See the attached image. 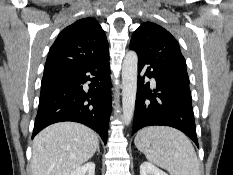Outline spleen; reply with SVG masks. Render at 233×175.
Listing matches in <instances>:
<instances>
[{"label":"spleen","instance_id":"1","mask_svg":"<svg viewBox=\"0 0 233 175\" xmlns=\"http://www.w3.org/2000/svg\"><path fill=\"white\" fill-rule=\"evenodd\" d=\"M135 146L147 160L167 170L170 175H200L195 149L185 134L167 126L141 129Z\"/></svg>","mask_w":233,"mask_h":175}]
</instances>
